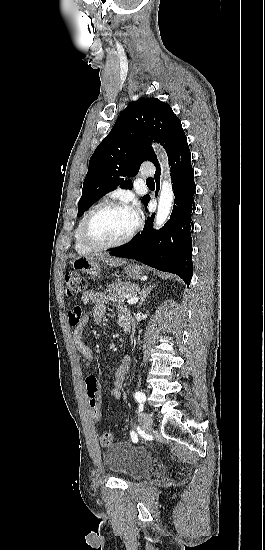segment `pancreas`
<instances>
[{"label": "pancreas", "mask_w": 265, "mask_h": 550, "mask_svg": "<svg viewBox=\"0 0 265 550\" xmlns=\"http://www.w3.org/2000/svg\"><path fill=\"white\" fill-rule=\"evenodd\" d=\"M138 289V286L122 280H117L107 286V292H109V299L118 304H122L125 301L124 294L134 293Z\"/></svg>", "instance_id": "cf45deb5"}]
</instances>
